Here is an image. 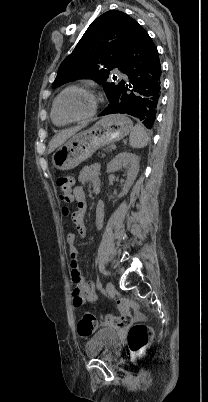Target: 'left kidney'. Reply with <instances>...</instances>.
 Instances as JSON below:
<instances>
[{"label": "left kidney", "mask_w": 208, "mask_h": 402, "mask_svg": "<svg viewBox=\"0 0 208 402\" xmlns=\"http://www.w3.org/2000/svg\"><path fill=\"white\" fill-rule=\"evenodd\" d=\"M121 168H126L127 170V180L124 184L123 192L120 194L119 198H123L128 194L134 180L137 178L139 172V158L135 154H129V152H121L118 156H115L107 166L108 174L115 172V170H121Z\"/></svg>", "instance_id": "obj_1"}]
</instances>
